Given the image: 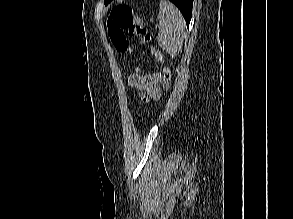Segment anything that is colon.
I'll return each instance as SVG.
<instances>
[{
    "label": "colon",
    "mask_w": 293,
    "mask_h": 219,
    "mask_svg": "<svg viewBox=\"0 0 293 219\" xmlns=\"http://www.w3.org/2000/svg\"><path fill=\"white\" fill-rule=\"evenodd\" d=\"M107 28L114 48L120 53L131 50L127 34L138 38L142 44L146 45L156 60L162 65L163 87L165 91L170 90L172 76L169 68L164 65V56L151 45V35L145 22L134 13L130 6L118 4L113 7L108 18Z\"/></svg>",
    "instance_id": "1"
}]
</instances>
